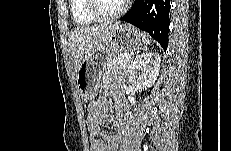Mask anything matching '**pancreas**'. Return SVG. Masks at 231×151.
<instances>
[{
  "label": "pancreas",
  "mask_w": 231,
  "mask_h": 151,
  "mask_svg": "<svg viewBox=\"0 0 231 151\" xmlns=\"http://www.w3.org/2000/svg\"><path fill=\"white\" fill-rule=\"evenodd\" d=\"M130 60L125 58V54L115 56L103 71V75L116 74L118 72H128Z\"/></svg>",
  "instance_id": "obj_1"
}]
</instances>
